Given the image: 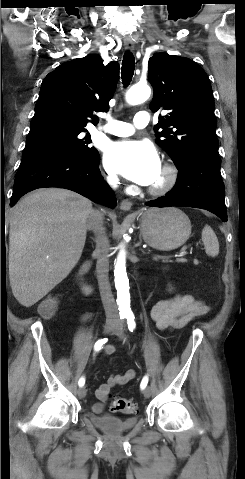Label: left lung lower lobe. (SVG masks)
<instances>
[{"label":"left lung lower lobe","mask_w":245,"mask_h":479,"mask_svg":"<svg viewBox=\"0 0 245 479\" xmlns=\"http://www.w3.org/2000/svg\"><path fill=\"white\" fill-rule=\"evenodd\" d=\"M175 187L146 205L152 207L185 206L206 209L227 221L224 184L220 173L218 153L194 155L178 167Z\"/></svg>","instance_id":"left-lung-lower-lobe-1"}]
</instances>
